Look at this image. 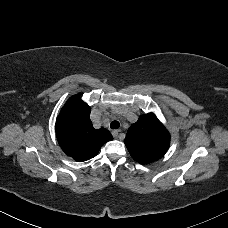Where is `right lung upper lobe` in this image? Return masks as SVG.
<instances>
[{"mask_svg": "<svg viewBox=\"0 0 228 228\" xmlns=\"http://www.w3.org/2000/svg\"><path fill=\"white\" fill-rule=\"evenodd\" d=\"M90 111L79 95H75L63 106L56 121L58 143L76 161L93 158L103 144L113 139L107 129L93 128Z\"/></svg>", "mask_w": 228, "mask_h": 228, "instance_id": "cb5924a9", "label": "right lung upper lobe"}]
</instances>
